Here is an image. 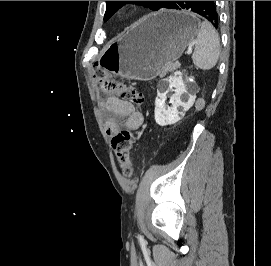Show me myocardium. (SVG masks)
Returning a JSON list of instances; mask_svg holds the SVG:
<instances>
[{
	"label": "myocardium",
	"instance_id": "obj_1",
	"mask_svg": "<svg viewBox=\"0 0 271 266\" xmlns=\"http://www.w3.org/2000/svg\"><path fill=\"white\" fill-rule=\"evenodd\" d=\"M129 10H130V7L125 6V7H123V8L121 9V12H122L123 14H125V13H128Z\"/></svg>",
	"mask_w": 271,
	"mask_h": 266
}]
</instances>
